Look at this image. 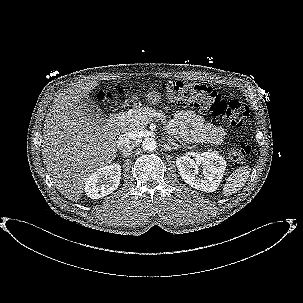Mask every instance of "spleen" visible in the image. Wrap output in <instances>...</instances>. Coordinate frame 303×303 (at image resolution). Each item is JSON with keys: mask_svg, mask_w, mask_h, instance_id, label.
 <instances>
[{"mask_svg": "<svg viewBox=\"0 0 303 303\" xmlns=\"http://www.w3.org/2000/svg\"><path fill=\"white\" fill-rule=\"evenodd\" d=\"M250 168L243 166L236 169L228 178L223 188V195L230 196L240 190L249 178Z\"/></svg>", "mask_w": 303, "mask_h": 303, "instance_id": "spleen-1", "label": "spleen"}]
</instances>
